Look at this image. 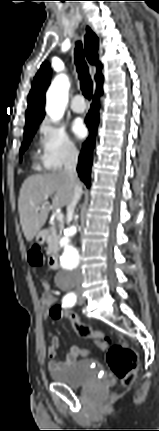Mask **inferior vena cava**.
Instances as JSON below:
<instances>
[{
    "label": "inferior vena cava",
    "mask_w": 159,
    "mask_h": 431,
    "mask_svg": "<svg viewBox=\"0 0 159 431\" xmlns=\"http://www.w3.org/2000/svg\"><path fill=\"white\" fill-rule=\"evenodd\" d=\"M78 155H79V153H78L76 147L71 146L67 150L65 161H64L63 173L73 181H77L76 167H77V162H78ZM81 195H82V188L79 184H76L75 188H74L73 199L70 202V204L67 206V214L69 216H73L74 209H75L78 201L80 200ZM74 279L76 282L77 289L80 290L82 275H81V272L79 270L75 271Z\"/></svg>",
    "instance_id": "602c4592"
}]
</instances>
